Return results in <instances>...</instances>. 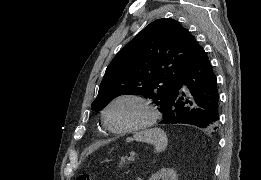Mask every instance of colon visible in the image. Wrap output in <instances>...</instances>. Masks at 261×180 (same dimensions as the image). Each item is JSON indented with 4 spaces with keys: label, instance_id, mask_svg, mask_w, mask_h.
I'll use <instances>...</instances> for the list:
<instances>
[{
    "label": "colon",
    "instance_id": "5ec220e1",
    "mask_svg": "<svg viewBox=\"0 0 261 180\" xmlns=\"http://www.w3.org/2000/svg\"><path fill=\"white\" fill-rule=\"evenodd\" d=\"M77 180H90V175L88 173H80L77 176Z\"/></svg>",
    "mask_w": 261,
    "mask_h": 180
}]
</instances>
